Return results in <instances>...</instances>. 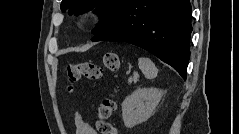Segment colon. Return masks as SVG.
I'll return each instance as SVG.
<instances>
[{
  "label": "colon",
  "instance_id": "colon-1",
  "mask_svg": "<svg viewBox=\"0 0 239 134\" xmlns=\"http://www.w3.org/2000/svg\"><path fill=\"white\" fill-rule=\"evenodd\" d=\"M119 65V56L113 52L104 55L102 66L90 61L69 64L66 67L68 87L71 89L82 78L98 80L104 71L114 72ZM116 108V102L112 97L105 98L98 106L96 127L101 134H117L116 127L107 121L115 113Z\"/></svg>",
  "mask_w": 239,
  "mask_h": 134
}]
</instances>
